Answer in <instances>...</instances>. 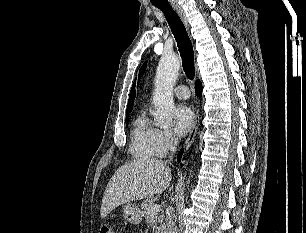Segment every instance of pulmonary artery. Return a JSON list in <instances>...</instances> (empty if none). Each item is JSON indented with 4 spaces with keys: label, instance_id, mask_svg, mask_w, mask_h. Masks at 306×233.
Instances as JSON below:
<instances>
[{
    "label": "pulmonary artery",
    "instance_id": "pulmonary-artery-1",
    "mask_svg": "<svg viewBox=\"0 0 306 233\" xmlns=\"http://www.w3.org/2000/svg\"><path fill=\"white\" fill-rule=\"evenodd\" d=\"M174 95L178 98V99H187L190 96V92L189 89L186 85H178L175 89H174Z\"/></svg>",
    "mask_w": 306,
    "mask_h": 233
}]
</instances>
